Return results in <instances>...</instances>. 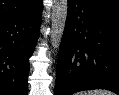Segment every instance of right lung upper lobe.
Segmentation results:
<instances>
[{
    "instance_id": "1",
    "label": "right lung upper lobe",
    "mask_w": 119,
    "mask_h": 95,
    "mask_svg": "<svg viewBox=\"0 0 119 95\" xmlns=\"http://www.w3.org/2000/svg\"><path fill=\"white\" fill-rule=\"evenodd\" d=\"M39 1L40 0H0V22L29 10Z\"/></svg>"
}]
</instances>
